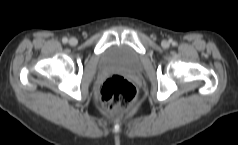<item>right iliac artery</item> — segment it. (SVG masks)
Segmentation results:
<instances>
[{
	"mask_svg": "<svg viewBox=\"0 0 238 145\" xmlns=\"http://www.w3.org/2000/svg\"><path fill=\"white\" fill-rule=\"evenodd\" d=\"M62 42H63V43H67V42H68V39H67L66 37H64V38L62 39Z\"/></svg>",
	"mask_w": 238,
	"mask_h": 145,
	"instance_id": "82829eb1",
	"label": "right iliac artery"
}]
</instances>
